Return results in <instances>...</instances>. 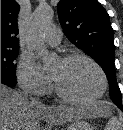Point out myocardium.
Instances as JSON below:
<instances>
[{"instance_id":"myocardium-1","label":"myocardium","mask_w":123,"mask_h":130,"mask_svg":"<svg viewBox=\"0 0 123 130\" xmlns=\"http://www.w3.org/2000/svg\"><path fill=\"white\" fill-rule=\"evenodd\" d=\"M61 60L63 61H72V60H84L90 63L95 69L98 71L100 78H101V88L99 92L91 97L87 98H76L72 97L66 93H64L59 86L56 84V82L50 77L52 89L55 92V94L62 99L63 101L69 102V103H76V104H84V103H91L98 99H100L106 92L108 87V80L106 77V74L102 67L91 57L81 54V53H69L64 55Z\"/></svg>"}]
</instances>
